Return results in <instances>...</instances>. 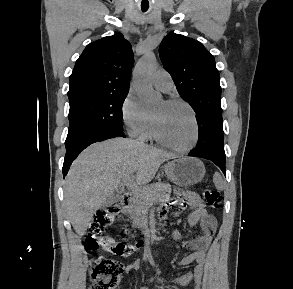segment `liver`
I'll list each match as a JSON object with an SVG mask.
<instances>
[{"mask_svg":"<svg viewBox=\"0 0 293 289\" xmlns=\"http://www.w3.org/2000/svg\"><path fill=\"white\" fill-rule=\"evenodd\" d=\"M174 154L142 141L115 138L86 148L73 162L65 179L64 204L79 236L90 225L94 212L128 178L134 185L149 183L160 165Z\"/></svg>","mask_w":293,"mask_h":289,"instance_id":"1","label":"liver"}]
</instances>
